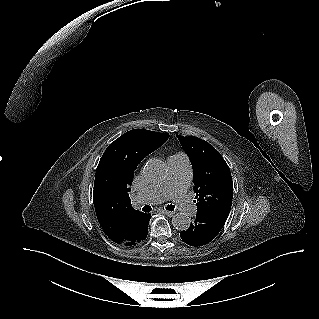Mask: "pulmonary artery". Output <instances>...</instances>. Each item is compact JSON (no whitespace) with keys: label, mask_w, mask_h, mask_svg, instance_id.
I'll list each match as a JSON object with an SVG mask.
<instances>
[{"label":"pulmonary artery","mask_w":319,"mask_h":319,"mask_svg":"<svg viewBox=\"0 0 319 319\" xmlns=\"http://www.w3.org/2000/svg\"><path fill=\"white\" fill-rule=\"evenodd\" d=\"M169 175L158 185L147 187L133 198L136 206L157 204L167 199H173L179 209L187 215L195 211L194 204L189 200L186 190L190 182V165L183 154L168 158Z\"/></svg>","instance_id":"pulmonary-artery-1"}]
</instances>
